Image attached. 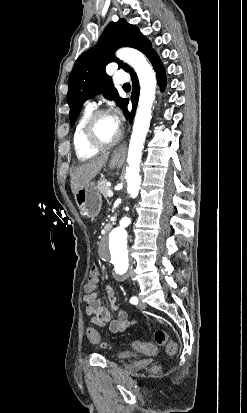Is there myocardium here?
<instances>
[{"label": "myocardium", "mask_w": 247, "mask_h": 413, "mask_svg": "<svg viewBox=\"0 0 247 413\" xmlns=\"http://www.w3.org/2000/svg\"><path fill=\"white\" fill-rule=\"evenodd\" d=\"M104 116V111L98 110L89 116L88 122L83 131V139L85 144L96 150L104 151L113 148L120 141V134L111 141H101L95 134V126L100 118Z\"/></svg>", "instance_id": "obj_1"}]
</instances>
